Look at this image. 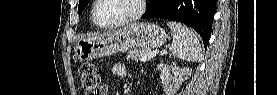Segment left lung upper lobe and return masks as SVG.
<instances>
[{
	"instance_id": "left-lung-upper-lobe-1",
	"label": "left lung upper lobe",
	"mask_w": 277,
	"mask_h": 95,
	"mask_svg": "<svg viewBox=\"0 0 277 95\" xmlns=\"http://www.w3.org/2000/svg\"><path fill=\"white\" fill-rule=\"evenodd\" d=\"M152 0H149V4L151 3ZM89 2V0H79V6H78V12L79 14L82 13V11L84 10L85 6L87 5V3Z\"/></svg>"
}]
</instances>
